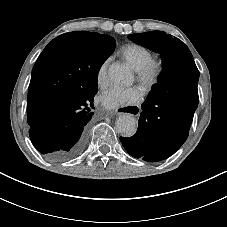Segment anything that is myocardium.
<instances>
[{
    "mask_svg": "<svg viewBox=\"0 0 227 227\" xmlns=\"http://www.w3.org/2000/svg\"><path fill=\"white\" fill-rule=\"evenodd\" d=\"M165 67L161 60L151 59L140 71L137 73L138 81L148 87L156 86L164 75Z\"/></svg>",
    "mask_w": 227,
    "mask_h": 227,
    "instance_id": "obj_1",
    "label": "myocardium"
}]
</instances>
